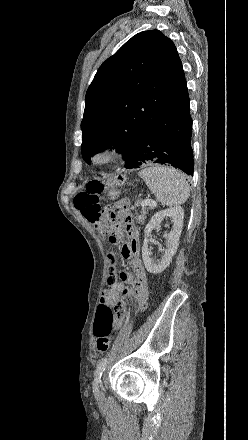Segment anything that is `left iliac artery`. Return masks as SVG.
Instances as JSON below:
<instances>
[{"label": "left iliac artery", "instance_id": "left-iliac-artery-1", "mask_svg": "<svg viewBox=\"0 0 248 440\" xmlns=\"http://www.w3.org/2000/svg\"><path fill=\"white\" fill-rule=\"evenodd\" d=\"M107 361H108V359L106 357L102 358L101 360H99V362L97 364V368H96L95 373H94V383H95V385H97V384H99L101 382V377H102V374H103V372H104V370L106 368Z\"/></svg>", "mask_w": 248, "mask_h": 440}]
</instances>
